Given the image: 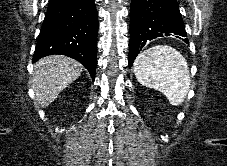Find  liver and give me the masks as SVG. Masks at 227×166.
Returning <instances> with one entry per match:
<instances>
[{
  "mask_svg": "<svg viewBox=\"0 0 227 166\" xmlns=\"http://www.w3.org/2000/svg\"><path fill=\"white\" fill-rule=\"evenodd\" d=\"M82 71L83 66L79 62L63 55H51L40 59L35 64L32 79L39 105L45 108L51 104Z\"/></svg>",
  "mask_w": 227,
  "mask_h": 166,
  "instance_id": "1",
  "label": "liver"
}]
</instances>
